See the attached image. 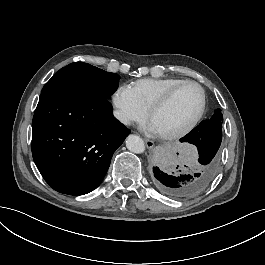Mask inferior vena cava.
Segmentation results:
<instances>
[{
  "label": "inferior vena cava",
  "mask_w": 265,
  "mask_h": 265,
  "mask_svg": "<svg viewBox=\"0 0 265 265\" xmlns=\"http://www.w3.org/2000/svg\"><path fill=\"white\" fill-rule=\"evenodd\" d=\"M114 116L118 119V120H120L123 124H128L129 123V121L127 120V118H125L123 115H122V113L121 112H119V111H114Z\"/></svg>",
  "instance_id": "obj_1"
}]
</instances>
